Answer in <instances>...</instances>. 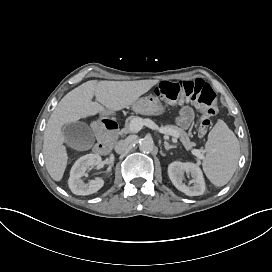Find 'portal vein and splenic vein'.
I'll return each mask as SVG.
<instances>
[{"mask_svg":"<svg viewBox=\"0 0 272 272\" xmlns=\"http://www.w3.org/2000/svg\"><path fill=\"white\" fill-rule=\"evenodd\" d=\"M143 125L147 126L148 128H150L151 130H154L158 133H163V134H169L175 137V139L180 138V134L174 130L171 129H167L165 127H159L155 122H153L150 119H145L143 121L142 118H135L132 119L130 124H129V132L130 133H138ZM191 154L199 156V157H203V155L200 154L199 150L197 149H191L190 150Z\"/></svg>","mask_w":272,"mask_h":272,"instance_id":"18ae733b","label":"portal vein and splenic vein"}]
</instances>
